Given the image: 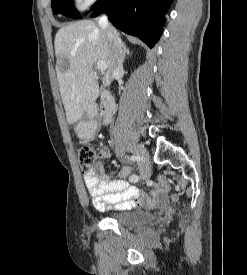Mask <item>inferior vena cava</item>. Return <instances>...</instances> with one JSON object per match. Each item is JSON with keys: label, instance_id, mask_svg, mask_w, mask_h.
<instances>
[{"label": "inferior vena cava", "instance_id": "602c4592", "mask_svg": "<svg viewBox=\"0 0 247 275\" xmlns=\"http://www.w3.org/2000/svg\"><path fill=\"white\" fill-rule=\"evenodd\" d=\"M98 23L106 33L109 42L111 55V73L112 78H116L123 72V43L116 30L109 25L107 16L102 15L99 18Z\"/></svg>", "mask_w": 247, "mask_h": 275}]
</instances>
